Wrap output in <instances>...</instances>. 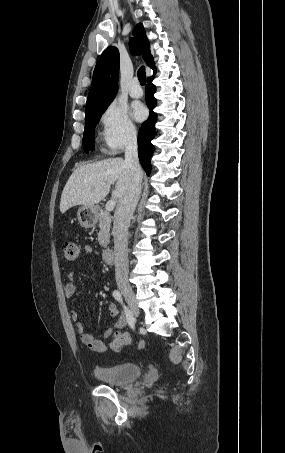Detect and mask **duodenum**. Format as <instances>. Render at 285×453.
<instances>
[{
    "label": "duodenum",
    "mask_w": 285,
    "mask_h": 453,
    "mask_svg": "<svg viewBox=\"0 0 285 453\" xmlns=\"http://www.w3.org/2000/svg\"><path fill=\"white\" fill-rule=\"evenodd\" d=\"M103 260L110 264L114 261V250L111 248V247H107L104 251H103Z\"/></svg>",
    "instance_id": "1"
}]
</instances>
